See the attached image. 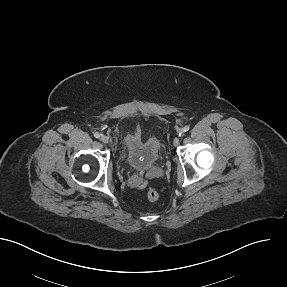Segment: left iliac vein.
I'll return each mask as SVG.
<instances>
[{
	"label": "left iliac vein",
	"mask_w": 287,
	"mask_h": 287,
	"mask_svg": "<svg viewBox=\"0 0 287 287\" xmlns=\"http://www.w3.org/2000/svg\"><path fill=\"white\" fill-rule=\"evenodd\" d=\"M179 132H180V133H184L183 129H180ZM174 144H175V145H179V140H178V139H175V140H174Z\"/></svg>",
	"instance_id": "obj_1"
}]
</instances>
